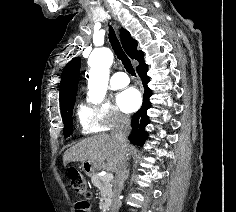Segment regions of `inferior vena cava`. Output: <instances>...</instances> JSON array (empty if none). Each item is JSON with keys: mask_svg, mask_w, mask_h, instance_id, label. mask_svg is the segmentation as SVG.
<instances>
[{"mask_svg": "<svg viewBox=\"0 0 236 212\" xmlns=\"http://www.w3.org/2000/svg\"><path fill=\"white\" fill-rule=\"evenodd\" d=\"M131 131V121L128 116L125 115H119L116 123L114 125L112 136H114L117 141L122 146V160L118 166V169L116 171V176L113 181L114 185V191H113V209L112 212H116L119 208V196L121 189L123 187L124 181L127 178V156H128V149H127V137L130 134Z\"/></svg>", "mask_w": 236, "mask_h": 212, "instance_id": "inferior-vena-cava-1", "label": "inferior vena cava"}]
</instances>
